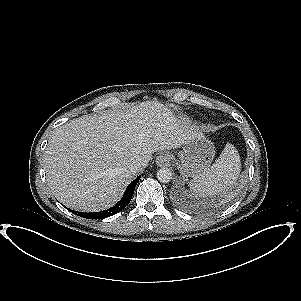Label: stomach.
Listing matches in <instances>:
<instances>
[{
    "label": "stomach",
    "mask_w": 301,
    "mask_h": 301,
    "mask_svg": "<svg viewBox=\"0 0 301 301\" xmlns=\"http://www.w3.org/2000/svg\"><path fill=\"white\" fill-rule=\"evenodd\" d=\"M178 155L182 174L196 176L210 166L215 156V147L204 134L192 133Z\"/></svg>",
    "instance_id": "stomach-1"
}]
</instances>
